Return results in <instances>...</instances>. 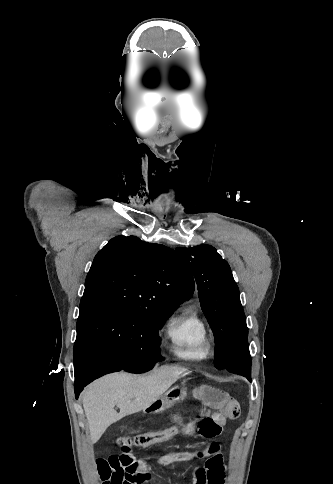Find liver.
Returning <instances> with one entry per match:
<instances>
[{
	"label": "liver",
	"mask_w": 333,
	"mask_h": 484,
	"mask_svg": "<svg viewBox=\"0 0 333 484\" xmlns=\"http://www.w3.org/2000/svg\"><path fill=\"white\" fill-rule=\"evenodd\" d=\"M186 371L179 366L164 365L149 374H109L88 385L82 402L92 442H97L111 424L124 416L150 407ZM115 405L120 413L114 410Z\"/></svg>",
	"instance_id": "obj_1"
}]
</instances>
